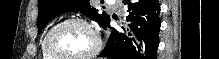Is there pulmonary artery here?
Listing matches in <instances>:
<instances>
[{"mask_svg": "<svg viewBox=\"0 0 219 59\" xmlns=\"http://www.w3.org/2000/svg\"><path fill=\"white\" fill-rule=\"evenodd\" d=\"M110 5H113V6H115L116 5V3H117V1H107Z\"/></svg>", "mask_w": 219, "mask_h": 59, "instance_id": "obj_1", "label": "pulmonary artery"}]
</instances>
